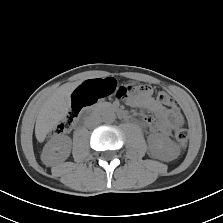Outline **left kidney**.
<instances>
[{
	"mask_svg": "<svg viewBox=\"0 0 223 223\" xmlns=\"http://www.w3.org/2000/svg\"><path fill=\"white\" fill-rule=\"evenodd\" d=\"M149 147L151 155L160 160L171 161L179 155L177 146L167 137L152 138Z\"/></svg>",
	"mask_w": 223,
	"mask_h": 223,
	"instance_id": "obj_1",
	"label": "left kidney"
}]
</instances>
